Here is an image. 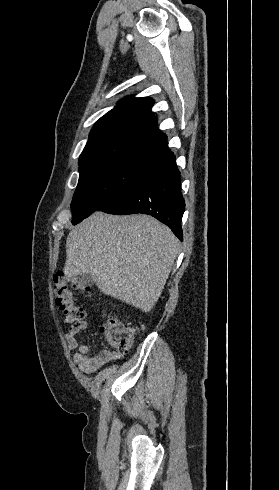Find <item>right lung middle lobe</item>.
Returning <instances> with one entry per match:
<instances>
[{"instance_id": "obj_1", "label": "right lung middle lobe", "mask_w": 279, "mask_h": 490, "mask_svg": "<svg viewBox=\"0 0 279 490\" xmlns=\"http://www.w3.org/2000/svg\"><path fill=\"white\" fill-rule=\"evenodd\" d=\"M156 167L154 163L131 160L100 161L80 167L71 203L72 224L76 225L91 215L110 194L141 181Z\"/></svg>"}]
</instances>
